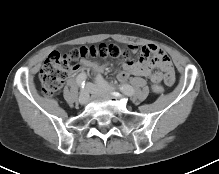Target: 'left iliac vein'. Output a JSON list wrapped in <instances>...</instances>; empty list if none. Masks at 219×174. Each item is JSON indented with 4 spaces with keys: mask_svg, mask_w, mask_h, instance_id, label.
Listing matches in <instances>:
<instances>
[{
    "mask_svg": "<svg viewBox=\"0 0 219 174\" xmlns=\"http://www.w3.org/2000/svg\"><path fill=\"white\" fill-rule=\"evenodd\" d=\"M87 89L91 94H98V93H103V92H113L114 89L110 86H103V85H96L93 83H88L87 84Z\"/></svg>",
    "mask_w": 219,
    "mask_h": 174,
    "instance_id": "1",
    "label": "left iliac vein"
}]
</instances>
